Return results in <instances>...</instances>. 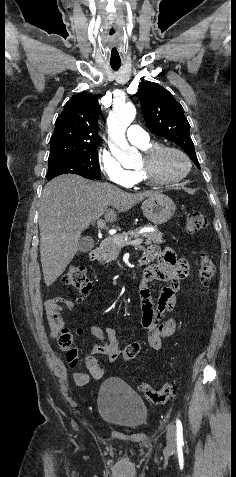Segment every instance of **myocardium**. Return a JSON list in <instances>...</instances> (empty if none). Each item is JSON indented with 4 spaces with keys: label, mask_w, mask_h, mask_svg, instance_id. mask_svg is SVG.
<instances>
[{
    "label": "myocardium",
    "mask_w": 236,
    "mask_h": 477,
    "mask_svg": "<svg viewBox=\"0 0 236 477\" xmlns=\"http://www.w3.org/2000/svg\"><path fill=\"white\" fill-rule=\"evenodd\" d=\"M167 153H175L180 155L186 162L185 172L177 177L163 179L157 176V166L160 159ZM192 163L189 156L181 149L173 146L158 145L154 146L143 155V161L137 169L141 174L144 182L153 185H169L176 184L185 179L190 173Z\"/></svg>",
    "instance_id": "1"
}]
</instances>
